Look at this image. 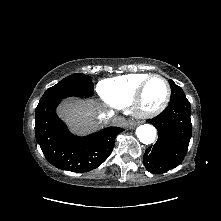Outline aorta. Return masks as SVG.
<instances>
[{
	"label": "aorta",
	"mask_w": 221,
	"mask_h": 221,
	"mask_svg": "<svg viewBox=\"0 0 221 221\" xmlns=\"http://www.w3.org/2000/svg\"><path fill=\"white\" fill-rule=\"evenodd\" d=\"M136 135L143 144H151L156 139V129L150 124H143L137 127Z\"/></svg>",
	"instance_id": "aorta-1"
}]
</instances>
